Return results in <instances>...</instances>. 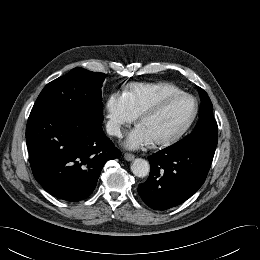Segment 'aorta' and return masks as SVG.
<instances>
[{
    "mask_svg": "<svg viewBox=\"0 0 260 260\" xmlns=\"http://www.w3.org/2000/svg\"><path fill=\"white\" fill-rule=\"evenodd\" d=\"M132 173L140 178L146 177L150 171L149 163L142 158H136L131 164Z\"/></svg>",
    "mask_w": 260,
    "mask_h": 260,
    "instance_id": "1",
    "label": "aorta"
}]
</instances>
